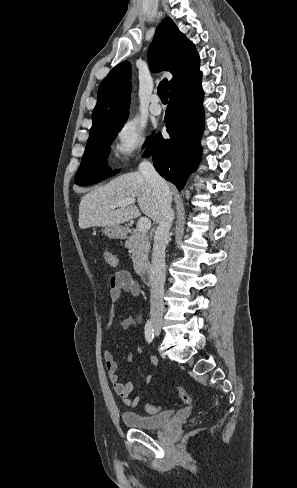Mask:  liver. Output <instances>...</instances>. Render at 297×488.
<instances>
[{
    "mask_svg": "<svg viewBox=\"0 0 297 488\" xmlns=\"http://www.w3.org/2000/svg\"><path fill=\"white\" fill-rule=\"evenodd\" d=\"M172 193L173 189L170 188ZM126 198H137L140 210L159 223L162 218V205L157 192L140 171L130 172L110 181L82 197L79 205V227L87 229L93 226H117L140 216L135 205L110 206Z\"/></svg>",
    "mask_w": 297,
    "mask_h": 488,
    "instance_id": "1",
    "label": "liver"
}]
</instances>
